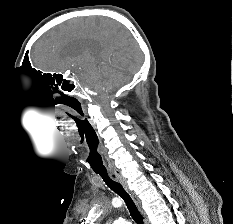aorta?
<instances>
[{"label": "aorta", "mask_w": 233, "mask_h": 224, "mask_svg": "<svg viewBox=\"0 0 233 224\" xmlns=\"http://www.w3.org/2000/svg\"><path fill=\"white\" fill-rule=\"evenodd\" d=\"M113 224H131L130 222L126 221L123 218H119L118 220H116Z\"/></svg>", "instance_id": "762f6f07"}]
</instances>
